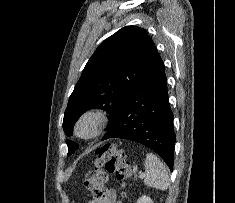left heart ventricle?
<instances>
[{"instance_id": "b2bd125f", "label": "left heart ventricle", "mask_w": 235, "mask_h": 203, "mask_svg": "<svg viewBox=\"0 0 235 203\" xmlns=\"http://www.w3.org/2000/svg\"><path fill=\"white\" fill-rule=\"evenodd\" d=\"M90 131V124L89 123H85L83 126H82V132L83 133H88Z\"/></svg>"}]
</instances>
